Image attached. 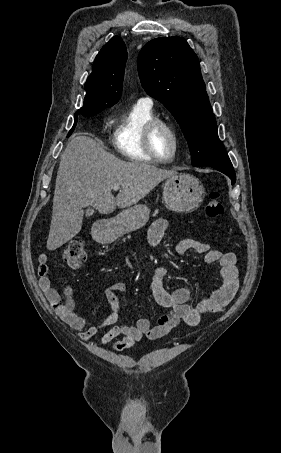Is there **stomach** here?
Returning a JSON list of instances; mask_svg holds the SVG:
<instances>
[{"label": "stomach", "instance_id": "obj_1", "mask_svg": "<svg viewBox=\"0 0 281 453\" xmlns=\"http://www.w3.org/2000/svg\"><path fill=\"white\" fill-rule=\"evenodd\" d=\"M205 196L204 186L199 178L181 172L178 176L167 178L163 186V200L169 210L174 212H193ZM150 210L146 204H135L119 212L114 218H106L93 235H98L101 243H113L115 239L142 229L149 220Z\"/></svg>", "mask_w": 281, "mask_h": 453}]
</instances>
